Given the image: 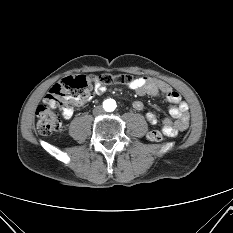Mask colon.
I'll return each instance as SVG.
<instances>
[{
    "mask_svg": "<svg viewBox=\"0 0 233 233\" xmlns=\"http://www.w3.org/2000/svg\"><path fill=\"white\" fill-rule=\"evenodd\" d=\"M137 78L131 74L68 76L52 86L43 103L37 108V131L44 136L59 132L62 124L55 110L70 107L89 99L92 96L93 85L96 82L103 85H130ZM147 138L152 142H161L164 140V134L159 130H152L147 134Z\"/></svg>",
    "mask_w": 233,
    "mask_h": 233,
    "instance_id": "5ec220e1",
    "label": "colon"
}]
</instances>
